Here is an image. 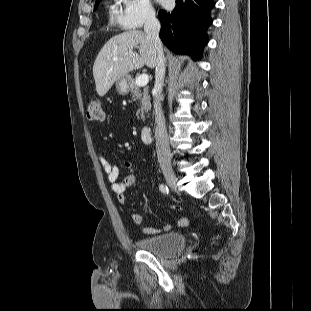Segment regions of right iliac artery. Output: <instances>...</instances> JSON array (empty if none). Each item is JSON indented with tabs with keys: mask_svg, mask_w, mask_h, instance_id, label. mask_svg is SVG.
I'll return each instance as SVG.
<instances>
[{
	"mask_svg": "<svg viewBox=\"0 0 311 311\" xmlns=\"http://www.w3.org/2000/svg\"><path fill=\"white\" fill-rule=\"evenodd\" d=\"M159 189H160V191L162 192V193H169V189H168V187L165 185V184H161L160 186H159Z\"/></svg>",
	"mask_w": 311,
	"mask_h": 311,
	"instance_id": "obj_1",
	"label": "right iliac artery"
}]
</instances>
